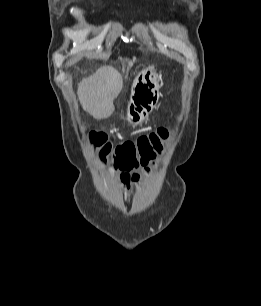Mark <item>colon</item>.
Here are the masks:
<instances>
[{
    "label": "colon",
    "instance_id": "5ec220e1",
    "mask_svg": "<svg viewBox=\"0 0 261 306\" xmlns=\"http://www.w3.org/2000/svg\"><path fill=\"white\" fill-rule=\"evenodd\" d=\"M171 134V129L158 127L135 140L113 145L106 134L91 131L88 133V142L102 164L106 165L109 160H113L114 169L129 171L139 166L149 165L162 153Z\"/></svg>",
    "mask_w": 261,
    "mask_h": 306
}]
</instances>
